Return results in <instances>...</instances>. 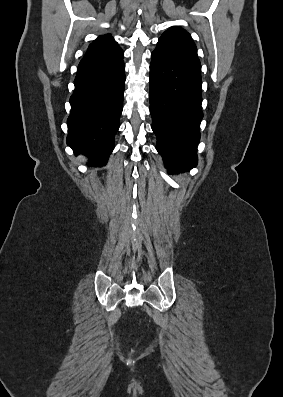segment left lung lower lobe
Listing matches in <instances>:
<instances>
[{
	"instance_id": "0a47b994",
	"label": "left lung lower lobe",
	"mask_w": 283,
	"mask_h": 397,
	"mask_svg": "<svg viewBox=\"0 0 283 397\" xmlns=\"http://www.w3.org/2000/svg\"><path fill=\"white\" fill-rule=\"evenodd\" d=\"M201 68L157 44L151 53L150 113L156 149L172 171L197 165L200 141Z\"/></svg>"
}]
</instances>
